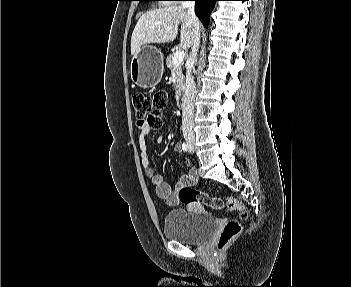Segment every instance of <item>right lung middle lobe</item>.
<instances>
[{"label":"right lung middle lobe","instance_id":"1","mask_svg":"<svg viewBox=\"0 0 351 287\" xmlns=\"http://www.w3.org/2000/svg\"><path fill=\"white\" fill-rule=\"evenodd\" d=\"M139 1H157V0H139Z\"/></svg>","mask_w":351,"mask_h":287}]
</instances>
